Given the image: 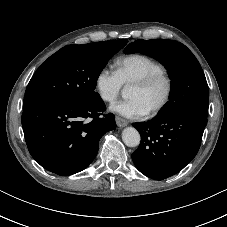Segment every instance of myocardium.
Returning <instances> with one entry per match:
<instances>
[{
    "label": "myocardium",
    "mask_w": 227,
    "mask_h": 227,
    "mask_svg": "<svg viewBox=\"0 0 227 227\" xmlns=\"http://www.w3.org/2000/svg\"><path fill=\"white\" fill-rule=\"evenodd\" d=\"M158 81H164L165 82V84H166L165 95H164L162 101L155 108H153L152 110L147 112V114L149 116L158 115L169 104L171 97H172V94H173V88H174L172 77L166 71L156 72V73H152L150 75H147L143 78H140V79L134 81L131 84V86L147 88V87H150L151 85H153L154 83H156Z\"/></svg>",
    "instance_id": "obj_1"
}]
</instances>
